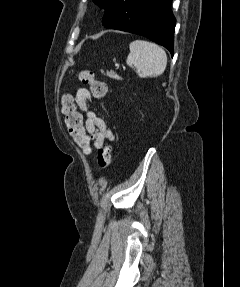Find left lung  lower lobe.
I'll return each mask as SVG.
<instances>
[{"instance_id": "1", "label": "left lung lower lobe", "mask_w": 240, "mask_h": 287, "mask_svg": "<svg viewBox=\"0 0 240 287\" xmlns=\"http://www.w3.org/2000/svg\"><path fill=\"white\" fill-rule=\"evenodd\" d=\"M172 0H109L102 25L139 34L166 47L173 56L175 17Z\"/></svg>"}]
</instances>
